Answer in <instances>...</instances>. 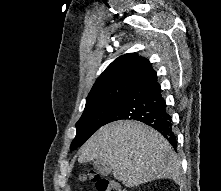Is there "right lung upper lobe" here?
<instances>
[{"instance_id": "cb5924a9", "label": "right lung upper lobe", "mask_w": 221, "mask_h": 191, "mask_svg": "<svg viewBox=\"0 0 221 191\" xmlns=\"http://www.w3.org/2000/svg\"><path fill=\"white\" fill-rule=\"evenodd\" d=\"M155 74L146 58L135 53L122 55L97 78L86 99V106L122 98L132 88Z\"/></svg>"}]
</instances>
